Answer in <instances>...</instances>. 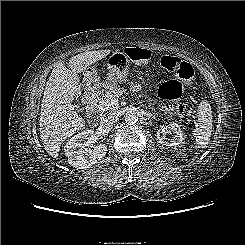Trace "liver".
I'll return each mask as SVG.
<instances>
[{
	"label": "liver",
	"instance_id": "1",
	"mask_svg": "<svg viewBox=\"0 0 245 245\" xmlns=\"http://www.w3.org/2000/svg\"><path fill=\"white\" fill-rule=\"evenodd\" d=\"M111 51H87L69 59V68L64 61L56 62L44 90L39 131L46 152L57 158L61 144L85 127L72 101L82 95V83L78 73L105 58Z\"/></svg>",
	"mask_w": 245,
	"mask_h": 245
}]
</instances>
